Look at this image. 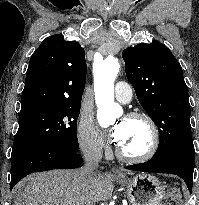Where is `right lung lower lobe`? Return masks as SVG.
<instances>
[{"mask_svg": "<svg viewBox=\"0 0 199 205\" xmlns=\"http://www.w3.org/2000/svg\"><path fill=\"white\" fill-rule=\"evenodd\" d=\"M83 162L77 151L48 146L11 160L10 190L26 175L52 169H74Z\"/></svg>", "mask_w": 199, "mask_h": 205, "instance_id": "obj_1", "label": "right lung lower lobe"}]
</instances>
